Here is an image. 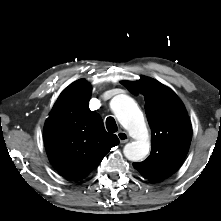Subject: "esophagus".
<instances>
[{
    "instance_id": "obj_1",
    "label": "esophagus",
    "mask_w": 221,
    "mask_h": 221,
    "mask_svg": "<svg viewBox=\"0 0 221 221\" xmlns=\"http://www.w3.org/2000/svg\"><path fill=\"white\" fill-rule=\"evenodd\" d=\"M117 137H118L120 143H126L129 139L128 134L125 131H119L117 133Z\"/></svg>"
}]
</instances>
